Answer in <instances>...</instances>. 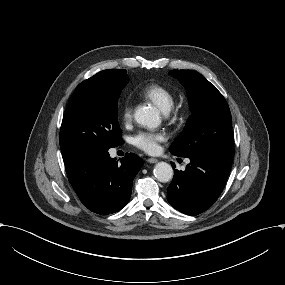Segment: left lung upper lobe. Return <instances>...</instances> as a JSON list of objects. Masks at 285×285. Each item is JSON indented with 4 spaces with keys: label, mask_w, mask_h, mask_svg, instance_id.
Returning <instances> with one entry per match:
<instances>
[{
    "label": "left lung upper lobe",
    "mask_w": 285,
    "mask_h": 285,
    "mask_svg": "<svg viewBox=\"0 0 285 285\" xmlns=\"http://www.w3.org/2000/svg\"><path fill=\"white\" fill-rule=\"evenodd\" d=\"M169 74L186 88L192 112L184 131L170 146V152L179 157L206 152L232 155L231 113L222 94L196 71L172 70Z\"/></svg>",
    "instance_id": "1"
}]
</instances>
